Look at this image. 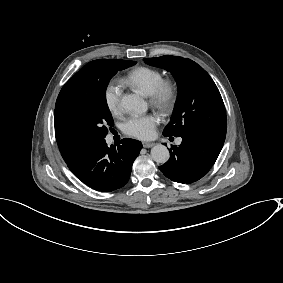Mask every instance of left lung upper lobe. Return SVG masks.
Instances as JSON below:
<instances>
[{
  "label": "left lung upper lobe",
  "mask_w": 283,
  "mask_h": 283,
  "mask_svg": "<svg viewBox=\"0 0 283 283\" xmlns=\"http://www.w3.org/2000/svg\"><path fill=\"white\" fill-rule=\"evenodd\" d=\"M144 61L171 72L178 84V98L164 136L194 134L225 138L224 103L214 81L201 66L190 59L171 55Z\"/></svg>",
  "instance_id": "5c2ea615"
}]
</instances>
